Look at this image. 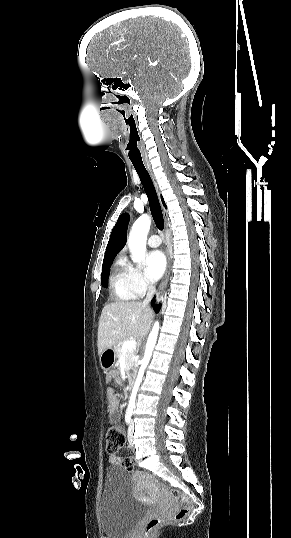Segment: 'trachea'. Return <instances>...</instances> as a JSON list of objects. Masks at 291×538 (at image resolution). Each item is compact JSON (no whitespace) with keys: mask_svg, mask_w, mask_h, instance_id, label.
<instances>
[{"mask_svg":"<svg viewBox=\"0 0 291 538\" xmlns=\"http://www.w3.org/2000/svg\"><path fill=\"white\" fill-rule=\"evenodd\" d=\"M133 166L140 178V181L144 187L145 193L148 197L151 213L155 224L159 230L164 229V219L161 210V206L157 197L155 187L153 185L152 179L146 170L144 164H134Z\"/></svg>","mask_w":291,"mask_h":538,"instance_id":"1","label":"trachea"}]
</instances>
